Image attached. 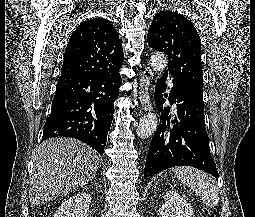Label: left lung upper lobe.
Listing matches in <instances>:
<instances>
[{
  "mask_svg": "<svg viewBox=\"0 0 255 217\" xmlns=\"http://www.w3.org/2000/svg\"><path fill=\"white\" fill-rule=\"evenodd\" d=\"M147 39L151 48L168 56L167 74L203 91L200 37L187 18L172 11L157 13Z\"/></svg>",
  "mask_w": 255,
  "mask_h": 217,
  "instance_id": "1",
  "label": "left lung upper lobe"
}]
</instances>
